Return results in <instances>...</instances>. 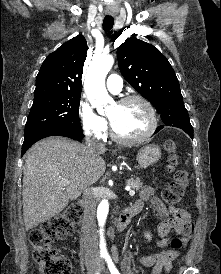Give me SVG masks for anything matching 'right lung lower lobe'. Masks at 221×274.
Segmentation results:
<instances>
[{"instance_id":"98d812e1","label":"right lung lower lobe","mask_w":221,"mask_h":274,"mask_svg":"<svg viewBox=\"0 0 221 274\" xmlns=\"http://www.w3.org/2000/svg\"><path fill=\"white\" fill-rule=\"evenodd\" d=\"M49 136H64L68 138H72L75 140H80L84 137L82 132H77L74 130L66 129V128H46L42 129L28 135H25L24 143L22 145V155L37 141L40 139L49 137Z\"/></svg>"}]
</instances>
